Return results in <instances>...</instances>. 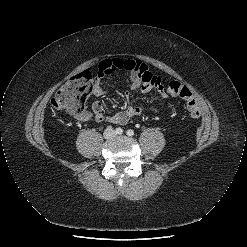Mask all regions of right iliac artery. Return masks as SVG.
<instances>
[{"mask_svg": "<svg viewBox=\"0 0 247 247\" xmlns=\"http://www.w3.org/2000/svg\"><path fill=\"white\" fill-rule=\"evenodd\" d=\"M116 134H122L123 133V129L122 128H116L115 130Z\"/></svg>", "mask_w": 247, "mask_h": 247, "instance_id": "obj_1", "label": "right iliac artery"}]
</instances>
